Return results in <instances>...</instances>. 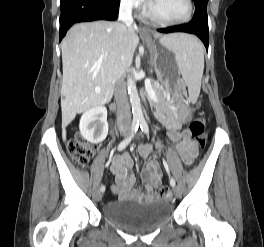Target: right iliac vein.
Segmentation results:
<instances>
[{"label": "right iliac vein", "mask_w": 264, "mask_h": 247, "mask_svg": "<svg viewBox=\"0 0 264 247\" xmlns=\"http://www.w3.org/2000/svg\"><path fill=\"white\" fill-rule=\"evenodd\" d=\"M128 134L127 131L123 132V135L126 136ZM94 199L95 201H100L102 199V193L101 191L97 190L94 192Z\"/></svg>", "instance_id": "63e3f726"}]
</instances>
